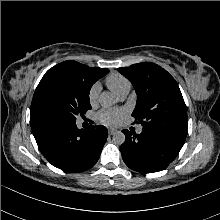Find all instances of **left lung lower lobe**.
I'll return each instance as SVG.
<instances>
[{"label": "left lung lower lobe", "mask_w": 220, "mask_h": 220, "mask_svg": "<svg viewBox=\"0 0 220 220\" xmlns=\"http://www.w3.org/2000/svg\"><path fill=\"white\" fill-rule=\"evenodd\" d=\"M126 136L120 150L125 164L142 173L162 171L179 154L182 144L160 134L142 130L140 134L123 130Z\"/></svg>", "instance_id": "left-lung-lower-lobe-1"}]
</instances>
